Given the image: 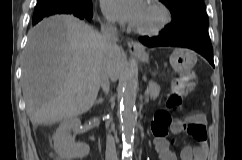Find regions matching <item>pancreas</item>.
<instances>
[{"mask_svg":"<svg viewBox=\"0 0 242 160\" xmlns=\"http://www.w3.org/2000/svg\"><path fill=\"white\" fill-rule=\"evenodd\" d=\"M147 91L151 99H156L159 95L160 87L156 83L150 82Z\"/></svg>","mask_w":242,"mask_h":160,"instance_id":"pancreas-1","label":"pancreas"}]
</instances>
